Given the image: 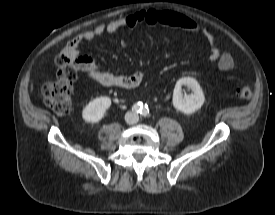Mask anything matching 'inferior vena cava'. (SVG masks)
Returning a JSON list of instances; mask_svg holds the SVG:
<instances>
[{"label": "inferior vena cava", "instance_id": "obj_1", "mask_svg": "<svg viewBox=\"0 0 275 215\" xmlns=\"http://www.w3.org/2000/svg\"><path fill=\"white\" fill-rule=\"evenodd\" d=\"M138 120H139V117L135 112H127L125 114V121L128 124H135L138 122Z\"/></svg>", "mask_w": 275, "mask_h": 215}]
</instances>
